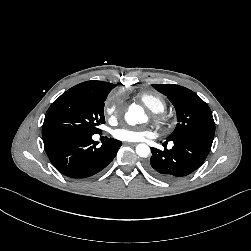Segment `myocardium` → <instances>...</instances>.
I'll use <instances>...</instances> for the list:
<instances>
[{
  "label": "myocardium",
  "instance_id": "1",
  "mask_svg": "<svg viewBox=\"0 0 251 251\" xmlns=\"http://www.w3.org/2000/svg\"><path fill=\"white\" fill-rule=\"evenodd\" d=\"M155 121L158 125H160L162 127L169 125V120L167 119V117H165L163 115L156 116Z\"/></svg>",
  "mask_w": 251,
  "mask_h": 251
}]
</instances>
